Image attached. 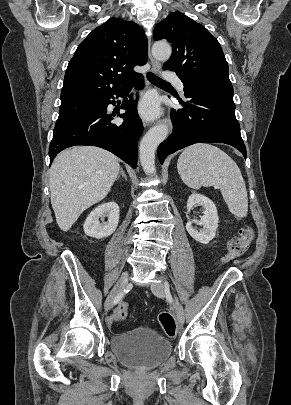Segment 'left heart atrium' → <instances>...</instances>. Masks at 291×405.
<instances>
[{
    "label": "left heart atrium",
    "instance_id": "obj_1",
    "mask_svg": "<svg viewBox=\"0 0 291 405\" xmlns=\"http://www.w3.org/2000/svg\"><path fill=\"white\" fill-rule=\"evenodd\" d=\"M142 115L146 118H153L159 112L157 100L154 97H147L140 106Z\"/></svg>",
    "mask_w": 291,
    "mask_h": 405
}]
</instances>
